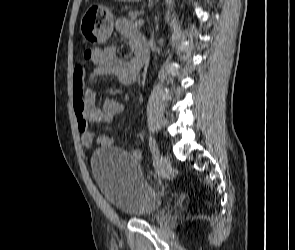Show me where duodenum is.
<instances>
[{"label":"duodenum","mask_w":295,"mask_h":250,"mask_svg":"<svg viewBox=\"0 0 295 250\" xmlns=\"http://www.w3.org/2000/svg\"><path fill=\"white\" fill-rule=\"evenodd\" d=\"M137 59H138V65L137 67L139 69L142 68L144 61H145V51L143 49H139L137 52Z\"/></svg>","instance_id":"410a0bca"}]
</instances>
